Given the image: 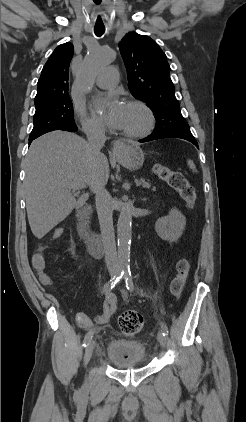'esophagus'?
I'll list each match as a JSON object with an SVG mask.
<instances>
[{
	"label": "esophagus",
	"mask_w": 246,
	"mask_h": 422,
	"mask_svg": "<svg viewBox=\"0 0 246 422\" xmlns=\"http://www.w3.org/2000/svg\"><path fill=\"white\" fill-rule=\"evenodd\" d=\"M117 148H118V144H116V145L114 146V151H116V150H117Z\"/></svg>",
	"instance_id": "34e87169"
}]
</instances>
